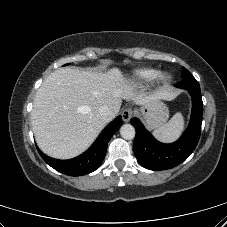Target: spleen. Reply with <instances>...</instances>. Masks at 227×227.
<instances>
[{"instance_id":"obj_1","label":"spleen","mask_w":227,"mask_h":227,"mask_svg":"<svg viewBox=\"0 0 227 227\" xmlns=\"http://www.w3.org/2000/svg\"><path fill=\"white\" fill-rule=\"evenodd\" d=\"M184 129V118L176 113L166 124L154 130L153 135L162 142L175 141Z\"/></svg>"}]
</instances>
